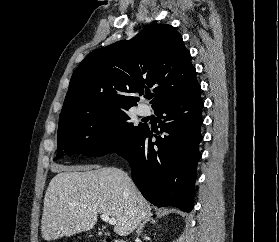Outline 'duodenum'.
Here are the masks:
<instances>
[{"label": "duodenum", "instance_id": "duodenum-1", "mask_svg": "<svg viewBox=\"0 0 279 242\" xmlns=\"http://www.w3.org/2000/svg\"><path fill=\"white\" fill-rule=\"evenodd\" d=\"M116 242H123V241L117 240Z\"/></svg>", "mask_w": 279, "mask_h": 242}]
</instances>
